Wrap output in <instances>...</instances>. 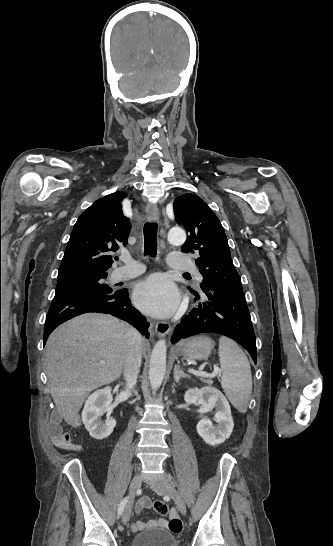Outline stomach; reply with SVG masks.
Masks as SVG:
<instances>
[{"label":"stomach","instance_id":"obj_1","mask_svg":"<svg viewBox=\"0 0 333 546\" xmlns=\"http://www.w3.org/2000/svg\"><path fill=\"white\" fill-rule=\"evenodd\" d=\"M214 346V342L205 336H195L183 342L178 347V353L191 360L207 359Z\"/></svg>","mask_w":333,"mask_h":546}]
</instances>
